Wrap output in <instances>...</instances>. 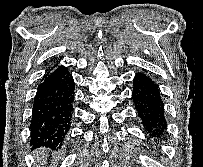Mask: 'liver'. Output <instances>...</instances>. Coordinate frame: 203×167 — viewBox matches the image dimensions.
<instances>
[{
    "mask_svg": "<svg viewBox=\"0 0 203 167\" xmlns=\"http://www.w3.org/2000/svg\"><path fill=\"white\" fill-rule=\"evenodd\" d=\"M35 155L39 158L40 162L43 160L44 156L46 155V149L41 148L35 150Z\"/></svg>",
    "mask_w": 203,
    "mask_h": 167,
    "instance_id": "liver-1",
    "label": "liver"
}]
</instances>
